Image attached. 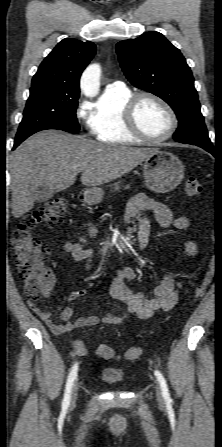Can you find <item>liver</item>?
I'll return each mask as SVG.
<instances>
[{
	"mask_svg": "<svg viewBox=\"0 0 222 447\" xmlns=\"http://www.w3.org/2000/svg\"><path fill=\"white\" fill-rule=\"evenodd\" d=\"M154 150L98 143L58 130L38 132L11 157L13 217L34 207L41 186L60 192L75 183L79 172L83 185H103L130 172Z\"/></svg>",
	"mask_w": 222,
	"mask_h": 447,
	"instance_id": "obj_1",
	"label": "liver"
}]
</instances>
